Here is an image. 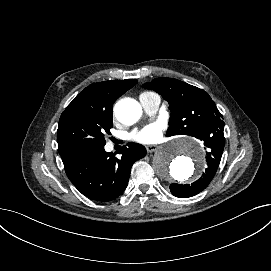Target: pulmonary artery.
<instances>
[{
	"instance_id": "obj_1",
	"label": "pulmonary artery",
	"mask_w": 271,
	"mask_h": 271,
	"mask_svg": "<svg viewBox=\"0 0 271 271\" xmlns=\"http://www.w3.org/2000/svg\"><path fill=\"white\" fill-rule=\"evenodd\" d=\"M139 100L143 109L146 111V113L150 115L155 114L158 111L161 102L160 97L155 93L142 94ZM111 148L112 144L110 142H107L105 145V151L109 152Z\"/></svg>"
}]
</instances>
